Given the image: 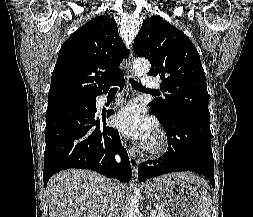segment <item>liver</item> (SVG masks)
Returning a JSON list of instances; mask_svg holds the SVG:
<instances>
[{
    "label": "liver",
    "mask_w": 253,
    "mask_h": 217,
    "mask_svg": "<svg viewBox=\"0 0 253 217\" xmlns=\"http://www.w3.org/2000/svg\"><path fill=\"white\" fill-rule=\"evenodd\" d=\"M174 175L188 182L200 181L187 172ZM113 184L90 170L69 169L55 174L47 185L49 217H108L112 209ZM120 185L124 197L125 186Z\"/></svg>",
    "instance_id": "1"
}]
</instances>
